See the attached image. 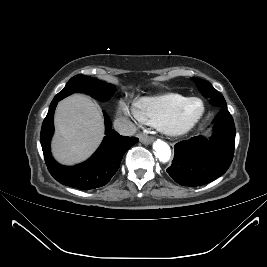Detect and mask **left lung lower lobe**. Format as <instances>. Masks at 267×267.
<instances>
[{
  "label": "left lung lower lobe",
  "instance_id": "0a47b994",
  "mask_svg": "<svg viewBox=\"0 0 267 267\" xmlns=\"http://www.w3.org/2000/svg\"><path fill=\"white\" fill-rule=\"evenodd\" d=\"M210 140L195 136L175 145L170 177L183 186H200L222 176L229 168L235 148V125L227 108H221Z\"/></svg>",
  "mask_w": 267,
  "mask_h": 267
}]
</instances>
